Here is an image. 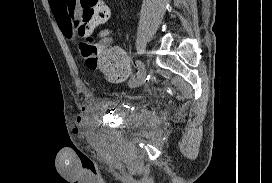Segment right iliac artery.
<instances>
[{
  "label": "right iliac artery",
  "mask_w": 272,
  "mask_h": 183,
  "mask_svg": "<svg viewBox=\"0 0 272 183\" xmlns=\"http://www.w3.org/2000/svg\"><path fill=\"white\" fill-rule=\"evenodd\" d=\"M134 66H135V68L138 69V70H134V71H133L132 76H130V78H129L130 81H137V79L140 78L141 75L143 74V71L140 70V68H142V67L144 66V64H143L141 61H136V62L134 63Z\"/></svg>",
  "instance_id": "obj_1"
}]
</instances>
